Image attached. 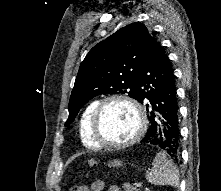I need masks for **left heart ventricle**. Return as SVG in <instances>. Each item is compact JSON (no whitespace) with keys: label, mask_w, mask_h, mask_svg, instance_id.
<instances>
[{"label":"left heart ventricle","mask_w":221,"mask_h":191,"mask_svg":"<svg viewBox=\"0 0 221 191\" xmlns=\"http://www.w3.org/2000/svg\"><path fill=\"white\" fill-rule=\"evenodd\" d=\"M137 126L136 113L128 104L114 101L105 107L101 118V131L106 141L124 142L134 135Z\"/></svg>","instance_id":"left-heart-ventricle-1"}]
</instances>
